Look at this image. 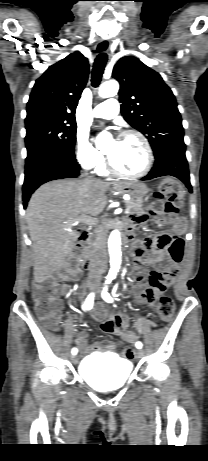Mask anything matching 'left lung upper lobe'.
Segmentation results:
<instances>
[{
    "mask_svg": "<svg viewBox=\"0 0 208 461\" xmlns=\"http://www.w3.org/2000/svg\"><path fill=\"white\" fill-rule=\"evenodd\" d=\"M112 76L120 83L124 119L146 136L154 155L170 145L184 144L175 96L159 73L139 59L126 56L115 65Z\"/></svg>",
    "mask_w": 208,
    "mask_h": 461,
    "instance_id": "left-lung-upper-lobe-1",
    "label": "left lung upper lobe"
}]
</instances>
